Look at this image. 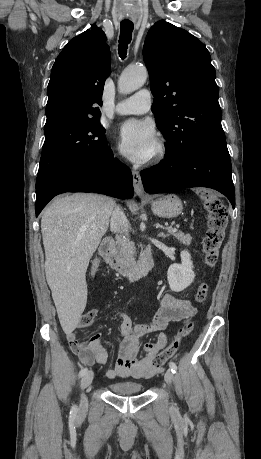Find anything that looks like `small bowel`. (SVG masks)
<instances>
[{
  "mask_svg": "<svg viewBox=\"0 0 261 459\" xmlns=\"http://www.w3.org/2000/svg\"><path fill=\"white\" fill-rule=\"evenodd\" d=\"M100 261L95 259L91 265V273L95 274ZM197 313L196 307L187 299L177 298L171 293H165L160 307L154 318L145 324H135L124 313L119 315L121 322V339L117 362L107 368L105 378L116 377L145 378L154 372L153 360L158 351L166 346L169 336L164 332L171 322H187ZM155 334L152 341L146 343L140 354L142 338ZM72 350L78 355L82 363L87 365L107 362L108 354L102 343L101 334L96 333L86 341H80L74 330L67 333Z\"/></svg>",
  "mask_w": 261,
  "mask_h": 459,
  "instance_id": "c3829d8e",
  "label": "small bowel"
}]
</instances>
